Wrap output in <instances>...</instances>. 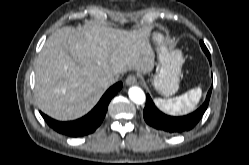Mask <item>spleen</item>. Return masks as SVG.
Wrapping results in <instances>:
<instances>
[{
  "label": "spleen",
  "mask_w": 249,
  "mask_h": 165,
  "mask_svg": "<svg viewBox=\"0 0 249 165\" xmlns=\"http://www.w3.org/2000/svg\"><path fill=\"white\" fill-rule=\"evenodd\" d=\"M202 90L200 87L191 89L181 96L173 99H155V104L165 113L171 115H184L190 113L200 101Z\"/></svg>",
  "instance_id": "spleen-1"
}]
</instances>
